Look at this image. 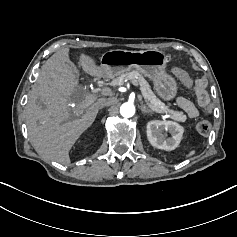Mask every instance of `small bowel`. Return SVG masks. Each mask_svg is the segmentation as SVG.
<instances>
[{"label":"small bowel","instance_id":"obj_1","mask_svg":"<svg viewBox=\"0 0 237 237\" xmlns=\"http://www.w3.org/2000/svg\"><path fill=\"white\" fill-rule=\"evenodd\" d=\"M207 82L199 79L194 85V91L197 97V104L187 97L180 96L177 98V105L190 117L196 118L199 114L209 112V97L207 94Z\"/></svg>","mask_w":237,"mask_h":237}]
</instances>
